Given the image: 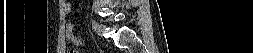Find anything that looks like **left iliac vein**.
Returning a JSON list of instances; mask_svg holds the SVG:
<instances>
[{
	"label": "left iliac vein",
	"mask_w": 253,
	"mask_h": 53,
	"mask_svg": "<svg viewBox=\"0 0 253 53\" xmlns=\"http://www.w3.org/2000/svg\"><path fill=\"white\" fill-rule=\"evenodd\" d=\"M103 32H104V26H103V25H99V26H98V34H99V35H102Z\"/></svg>",
	"instance_id": "left-iliac-vein-1"
}]
</instances>
